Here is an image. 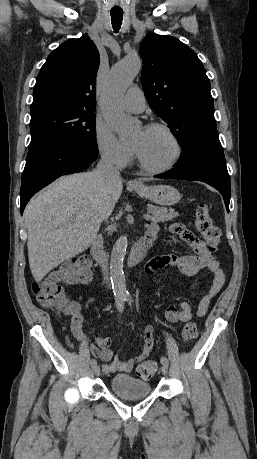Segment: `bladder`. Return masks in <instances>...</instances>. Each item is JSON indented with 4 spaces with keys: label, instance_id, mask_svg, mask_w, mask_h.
<instances>
[{
    "label": "bladder",
    "instance_id": "bladder-1",
    "mask_svg": "<svg viewBox=\"0 0 257 459\" xmlns=\"http://www.w3.org/2000/svg\"><path fill=\"white\" fill-rule=\"evenodd\" d=\"M110 391L127 400L144 398L151 394V386L129 374H116L110 380Z\"/></svg>",
    "mask_w": 257,
    "mask_h": 459
}]
</instances>
